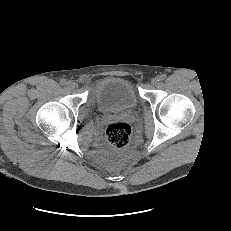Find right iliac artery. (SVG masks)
<instances>
[{"instance_id":"82829eb1","label":"right iliac artery","mask_w":231,"mask_h":231,"mask_svg":"<svg viewBox=\"0 0 231 231\" xmlns=\"http://www.w3.org/2000/svg\"><path fill=\"white\" fill-rule=\"evenodd\" d=\"M66 83H67V82H66L65 79H61V80H60V84H61V85H66Z\"/></svg>"}]
</instances>
